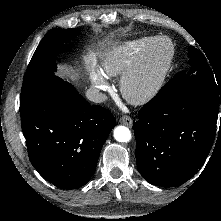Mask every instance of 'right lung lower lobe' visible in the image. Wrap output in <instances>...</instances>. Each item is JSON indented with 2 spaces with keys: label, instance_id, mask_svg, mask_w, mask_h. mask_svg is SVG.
<instances>
[{
  "label": "right lung lower lobe",
  "instance_id": "1",
  "mask_svg": "<svg viewBox=\"0 0 221 221\" xmlns=\"http://www.w3.org/2000/svg\"><path fill=\"white\" fill-rule=\"evenodd\" d=\"M20 116L32 165L50 183L67 190L90 180L116 125L107 109L91 106L57 76L20 104Z\"/></svg>",
  "mask_w": 221,
  "mask_h": 221
}]
</instances>
